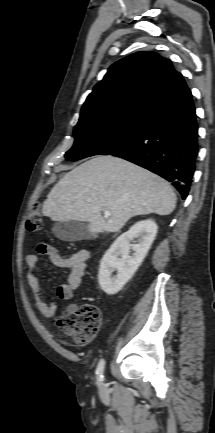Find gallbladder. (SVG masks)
<instances>
[{
	"label": "gallbladder",
	"instance_id": "obj_1",
	"mask_svg": "<svg viewBox=\"0 0 215 433\" xmlns=\"http://www.w3.org/2000/svg\"><path fill=\"white\" fill-rule=\"evenodd\" d=\"M52 232L58 239L66 242L80 241L90 236L87 224L77 221L56 222Z\"/></svg>",
	"mask_w": 215,
	"mask_h": 433
}]
</instances>
